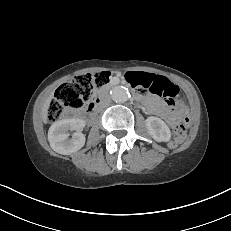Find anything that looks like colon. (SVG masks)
Returning <instances> with one entry per match:
<instances>
[{"label":"colon","mask_w":231,"mask_h":231,"mask_svg":"<svg viewBox=\"0 0 231 231\" xmlns=\"http://www.w3.org/2000/svg\"><path fill=\"white\" fill-rule=\"evenodd\" d=\"M132 78L138 80L140 76L135 75L132 76ZM109 80L110 72L101 71L79 75L63 83L49 104L47 120L54 122L58 120L66 110L82 108L85 103L91 99L93 93L106 86ZM133 85L136 86L135 83H133ZM168 90L171 92L167 94L168 98L172 99L177 95L176 87H169ZM186 128V120L182 119L177 122L174 130L175 140L171 143V146L175 147L185 138Z\"/></svg>","instance_id":"colon-1"}]
</instances>
